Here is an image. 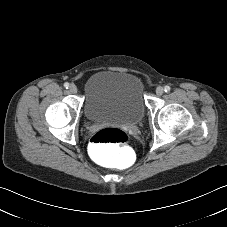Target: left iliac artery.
Here are the masks:
<instances>
[{
  "mask_svg": "<svg viewBox=\"0 0 227 227\" xmlns=\"http://www.w3.org/2000/svg\"><path fill=\"white\" fill-rule=\"evenodd\" d=\"M170 90H171L170 86L166 85V86L164 87V91H165V92H170Z\"/></svg>",
  "mask_w": 227,
  "mask_h": 227,
  "instance_id": "1",
  "label": "left iliac artery"
}]
</instances>
